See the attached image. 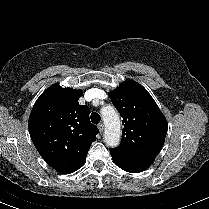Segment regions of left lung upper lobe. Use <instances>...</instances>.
I'll return each mask as SVG.
<instances>
[{
	"label": "left lung upper lobe",
	"instance_id": "obj_1",
	"mask_svg": "<svg viewBox=\"0 0 209 209\" xmlns=\"http://www.w3.org/2000/svg\"><path fill=\"white\" fill-rule=\"evenodd\" d=\"M123 118L121 144L111 154L152 164L167 134V121L146 89L127 80L109 93Z\"/></svg>",
	"mask_w": 209,
	"mask_h": 209
}]
</instances>
